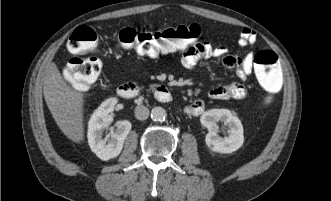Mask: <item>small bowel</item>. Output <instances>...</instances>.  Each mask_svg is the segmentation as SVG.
Returning <instances> with one entry per match:
<instances>
[{
	"label": "small bowel",
	"instance_id": "obj_1",
	"mask_svg": "<svg viewBox=\"0 0 331 201\" xmlns=\"http://www.w3.org/2000/svg\"><path fill=\"white\" fill-rule=\"evenodd\" d=\"M257 41V34L249 28H243L238 43L242 47L253 46ZM219 58L223 67L235 69L240 80H246L253 70V54L248 53L243 58L228 54L225 46H213L209 43H197L187 48L181 56V64L185 68H192L202 60ZM247 95L246 88L238 82H230L216 86L209 90L208 96L216 100L243 99ZM205 104L202 100H195L184 108L190 116L203 113Z\"/></svg>",
	"mask_w": 331,
	"mask_h": 201
}]
</instances>
